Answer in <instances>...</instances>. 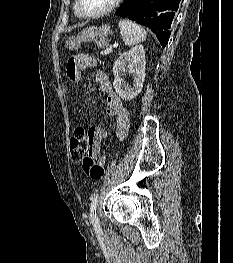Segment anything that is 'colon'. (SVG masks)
<instances>
[{"label": "colon", "mask_w": 233, "mask_h": 263, "mask_svg": "<svg viewBox=\"0 0 233 263\" xmlns=\"http://www.w3.org/2000/svg\"><path fill=\"white\" fill-rule=\"evenodd\" d=\"M94 127L78 126L70 137V154L72 160L81 162L88 176L100 180L105 175L104 166L91 160V140Z\"/></svg>", "instance_id": "5ec220e1"}]
</instances>
